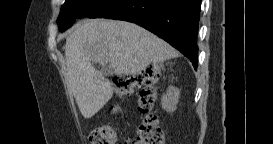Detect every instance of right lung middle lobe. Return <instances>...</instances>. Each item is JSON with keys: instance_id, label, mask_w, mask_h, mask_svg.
I'll use <instances>...</instances> for the list:
<instances>
[{"instance_id": "1", "label": "right lung middle lobe", "mask_w": 273, "mask_h": 144, "mask_svg": "<svg viewBox=\"0 0 273 144\" xmlns=\"http://www.w3.org/2000/svg\"><path fill=\"white\" fill-rule=\"evenodd\" d=\"M109 0H66L61 8L57 24L60 31L69 28L76 18L90 16Z\"/></svg>"}]
</instances>
